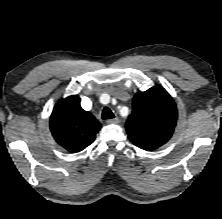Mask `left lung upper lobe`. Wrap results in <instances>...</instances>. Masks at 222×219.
<instances>
[{
    "label": "left lung upper lobe",
    "mask_w": 222,
    "mask_h": 219,
    "mask_svg": "<svg viewBox=\"0 0 222 219\" xmlns=\"http://www.w3.org/2000/svg\"><path fill=\"white\" fill-rule=\"evenodd\" d=\"M176 121L174 100L163 87L157 85L135 94L126 131L134 145L144 150H155L171 138Z\"/></svg>",
    "instance_id": "obj_1"
}]
</instances>
